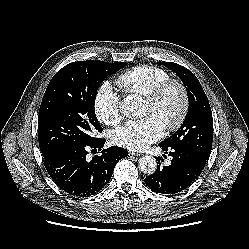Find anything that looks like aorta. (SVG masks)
<instances>
[{
    "mask_svg": "<svg viewBox=\"0 0 249 249\" xmlns=\"http://www.w3.org/2000/svg\"><path fill=\"white\" fill-rule=\"evenodd\" d=\"M140 106V99L134 95L127 96L124 101L120 103L121 111L127 117L137 116ZM138 168L145 174H152L156 171L157 161L153 156H142L138 160Z\"/></svg>",
    "mask_w": 249,
    "mask_h": 249,
    "instance_id": "obj_1",
    "label": "aorta"
}]
</instances>
